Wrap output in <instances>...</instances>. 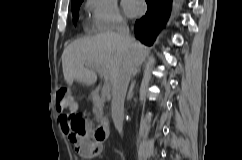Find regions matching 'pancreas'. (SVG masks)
<instances>
[{
    "label": "pancreas",
    "instance_id": "1",
    "mask_svg": "<svg viewBox=\"0 0 242 160\" xmlns=\"http://www.w3.org/2000/svg\"><path fill=\"white\" fill-rule=\"evenodd\" d=\"M94 112L96 113V121L97 122H99L101 120H106V118H103L102 114L96 108H94Z\"/></svg>",
    "mask_w": 242,
    "mask_h": 160
}]
</instances>
